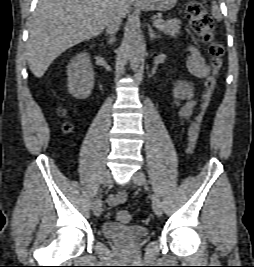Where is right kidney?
Returning <instances> with one entry per match:
<instances>
[{"label":"right kidney","instance_id":"ca27d5eb","mask_svg":"<svg viewBox=\"0 0 254 267\" xmlns=\"http://www.w3.org/2000/svg\"><path fill=\"white\" fill-rule=\"evenodd\" d=\"M68 92L76 99H86L94 85V72L87 53L76 55L67 70Z\"/></svg>","mask_w":254,"mask_h":267}]
</instances>
